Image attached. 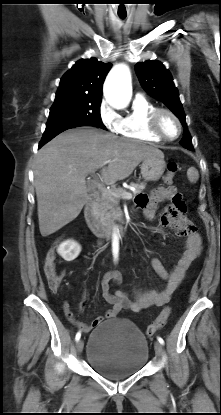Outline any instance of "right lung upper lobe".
<instances>
[{"label": "right lung upper lobe", "instance_id": "cb5924a9", "mask_svg": "<svg viewBox=\"0 0 221 415\" xmlns=\"http://www.w3.org/2000/svg\"><path fill=\"white\" fill-rule=\"evenodd\" d=\"M112 64L81 59L61 78L56 95L78 94L102 98V85Z\"/></svg>", "mask_w": 221, "mask_h": 415}]
</instances>
